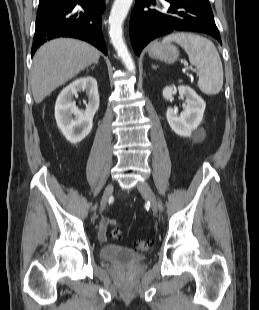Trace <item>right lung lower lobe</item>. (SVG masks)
Wrapping results in <instances>:
<instances>
[{
  "label": "right lung lower lobe",
  "instance_id": "1",
  "mask_svg": "<svg viewBox=\"0 0 259 310\" xmlns=\"http://www.w3.org/2000/svg\"><path fill=\"white\" fill-rule=\"evenodd\" d=\"M104 3L105 0H51L39 4L31 55L46 41L61 36L87 41L107 55L101 26Z\"/></svg>",
  "mask_w": 259,
  "mask_h": 310
}]
</instances>
